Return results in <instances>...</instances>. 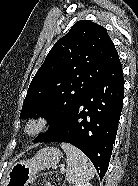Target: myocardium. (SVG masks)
Here are the masks:
<instances>
[{
    "label": "myocardium",
    "instance_id": "1",
    "mask_svg": "<svg viewBox=\"0 0 138 186\" xmlns=\"http://www.w3.org/2000/svg\"><path fill=\"white\" fill-rule=\"evenodd\" d=\"M50 126V119L43 114L31 117L25 124L23 132L28 137H36L44 133Z\"/></svg>",
    "mask_w": 138,
    "mask_h": 186
}]
</instances>
